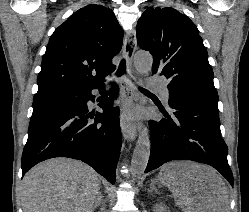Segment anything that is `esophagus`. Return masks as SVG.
<instances>
[{"instance_id":"34e87169","label":"esophagus","mask_w":249,"mask_h":212,"mask_svg":"<svg viewBox=\"0 0 249 212\" xmlns=\"http://www.w3.org/2000/svg\"><path fill=\"white\" fill-rule=\"evenodd\" d=\"M137 49L136 31L134 28L128 30L123 42V55L127 61L128 72L132 71V59ZM122 91V114L120 118V126L122 133L127 141H133L136 138V125L130 118V109L134 101V86L123 77L120 80Z\"/></svg>"}]
</instances>
